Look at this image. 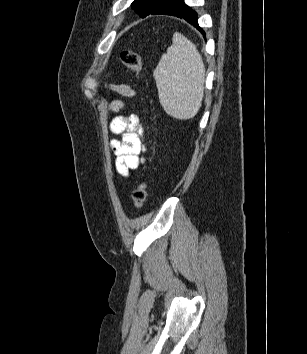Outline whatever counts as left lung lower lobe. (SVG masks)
I'll use <instances>...</instances> for the list:
<instances>
[{
    "instance_id": "1",
    "label": "left lung lower lobe",
    "mask_w": 307,
    "mask_h": 354,
    "mask_svg": "<svg viewBox=\"0 0 307 354\" xmlns=\"http://www.w3.org/2000/svg\"><path fill=\"white\" fill-rule=\"evenodd\" d=\"M165 14L176 16L178 18H183L191 25L196 27L203 35H205L204 31L199 27L197 22V14L190 7H188L184 0H169L167 4L158 12L152 14Z\"/></svg>"
}]
</instances>
